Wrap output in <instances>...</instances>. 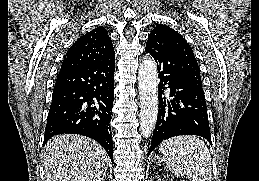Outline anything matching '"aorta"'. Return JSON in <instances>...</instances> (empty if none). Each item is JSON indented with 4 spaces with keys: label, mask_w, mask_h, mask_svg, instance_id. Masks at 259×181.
I'll use <instances>...</instances> for the list:
<instances>
[{
    "label": "aorta",
    "mask_w": 259,
    "mask_h": 181,
    "mask_svg": "<svg viewBox=\"0 0 259 181\" xmlns=\"http://www.w3.org/2000/svg\"><path fill=\"white\" fill-rule=\"evenodd\" d=\"M140 97V130L144 137L153 132L158 113L157 66L153 58H145L138 71Z\"/></svg>",
    "instance_id": "obj_1"
}]
</instances>
